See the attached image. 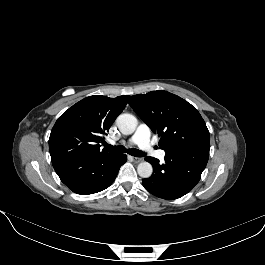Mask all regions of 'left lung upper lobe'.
I'll use <instances>...</instances> for the list:
<instances>
[{
    "label": "left lung upper lobe",
    "instance_id": "obj_1",
    "mask_svg": "<svg viewBox=\"0 0 265 265\" xmlns=\"http://www.w3.org/2000/svg\"><path fill=\"white\" fill-rule=\"evenodd\" d=\"M129 105L160 137L166 153L210 145V135L200 113L186 100L163 90L134 95Z\"/></svg>",
    "mask_w": 265,
    "mask_h": 265
}]
</instances>
